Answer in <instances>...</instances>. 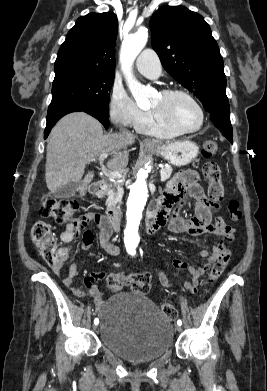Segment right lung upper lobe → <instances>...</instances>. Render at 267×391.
Wrapping results in <instances>:
<instances>
[{"label": "right lung upper lobe", "mask_w": 267, "mask_h": 391, "mask_svg": "<svg viewBox=\"0 0 267 391\" xmlns=\"http://www.w3.org/2000/svg\"><path fill=\"white\" fill-rule=\"evenodd\" d=\"M118 31L114 13H90L77 19L55 61V76L69 72L115 74Z\"/></svg>", "instance_id": "1"}]
</instances>
